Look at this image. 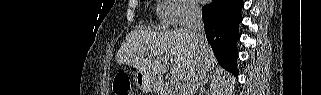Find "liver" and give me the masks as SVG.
Returning <instances> with one entry per match:
<instances>
[{
    "mask_svg": "<svg viewBox=\"0 0 321 95\" xmlns=\"http://www.w3.org/2000/svg\"><path fill=\"white\" fill-rule=\"evenodd\" d=\"M207 71H212L217 62L208 43L199 52L193 36L187 28L166 33H154L148 30H133L122 43L116 60L120 64L133 66L146 73L152 79L164 74L169 64L172 76L180 82L196 68L200 57Z\"/></svg>",
    "mask_w": 321,
    "mask_h": 95,
    "instance_id": "6515ba94",
    "label": "liver"
}]
</instances>
